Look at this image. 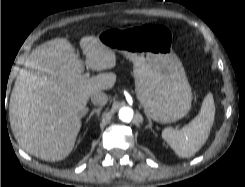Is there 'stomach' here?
<instances>
[{"label": "stomach", "mask_w": 245, "mask_h": 187, "mask_svg": "<svg viewBox=\"0 0 245 187\" xmlns=\"http://www.w3.org/2000/svg\"><path fill=\"white\" fill-rule=\"evenodd\" d=\"M98 39L133 62L136 95L149 118L165 124L189 112L192 91L183 65L173 52L169 28L144 24L108 29Z\"/></svg>", "instance_id": "stomach-1"}]
</instances>
